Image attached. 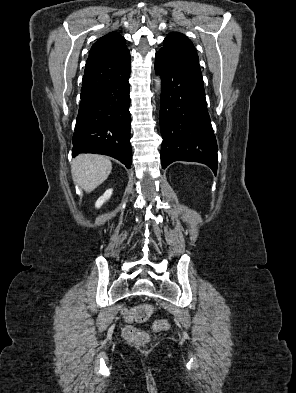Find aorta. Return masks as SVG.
I'll return each mask as SVG.
<instances>
[{"instance_id":"762f6f07","label":"aorta","mask_w":296,"mask_h":393,"mask_svg":"<svg viewBox=\"0 0 296 393\" xmlns=\"http://www.w3.org/2000/svg\"><path fill=\"white\" fill-rule=\"evenodd\" d=\"M155 81H156V91L160 94V92H161V79H160V77H157Z\"/></svg>"}]
</instances>
